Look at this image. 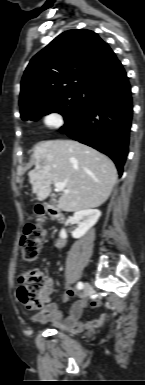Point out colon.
Wrapping results in <instances>:
<instances>
[{"mask_svg":"<svg viewBox=\"0 0 145 385\" xmlns=\"http://www.w3.org/2000/svg\"><path fill=\"white\" fill-rule=\"evenodd\" d=\"M43 238L44 231L36 225L29 224L26 227L19 242L21 258L25 263L31 264L36 261ZM20 283L17 291L20 302L29 309H40L47 289L44 276L39 271L33 270L23 275Z\"/></svg>","mask_w":145,"mask_h":385,"instance_id":"obj_1","label":"colon"}]
</instances>
